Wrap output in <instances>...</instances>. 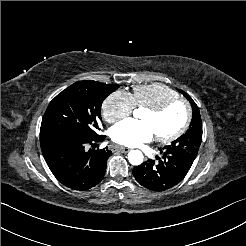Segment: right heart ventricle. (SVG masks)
Listing matches in <instances>:
<instances>
[{"mask_svg": "<svg viewBox=\"0 0 246 246\" xmlns=\"http://www.w3.org/2000/svg\"><path fill=\"white\" fill-rule=\"evenodd\" d=\"M176 96V91L161 83L135 86L132 94L134 106L139 109L156 106L165 100Z\"/></svg>", "mask_w": 246, "mask_h": 246, "instance_id": "obj_1", "label": "right heart ventricle"}]
</instances>
